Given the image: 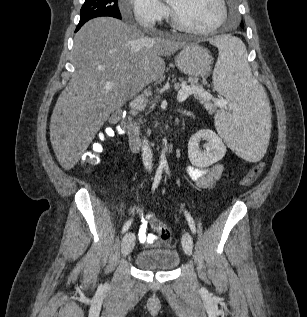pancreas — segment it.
<instances>
[{
  "instance_id": "cf45deb5",
  "label": "pancreas",
  "mask_w": 307,
  "mask_h": 317,
  "mask_svg": "<svg viewBox=\"0 0 307 317\" xmlns=\"http://www.w3.org/2000/svg\"><path fill=\"white\" fill-rule=\"evenodd\" d=\"M188 82L191 83V86H196V87L201 88V86L197 84L196 79H189ZM194 97L196 99H198L204 105V107L206 108L207 111H209L210 113L215 111L216 106L210 100H205V99L201 98L198 94H194Z\"/></svg>"
}]
</instances>
